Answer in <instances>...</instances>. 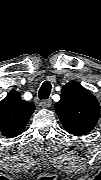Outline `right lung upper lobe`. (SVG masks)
<instances>
[{"instance_id":"cb5924a9","label":"right lung upper lobe","mask_w":101,"mask_h":180,"mask_svg":"<svg viewBox=\"0 0 101 180\" xmlns=\"http://www.w3.org/2000/svg\"><path fill=\"white\" fill-rule=\"evenodd\" d=\"M35 110L32 102L21 99L14 89L0 103V131L3 136L16 137L22 133Z\"/></svg>"}]
</instances>
